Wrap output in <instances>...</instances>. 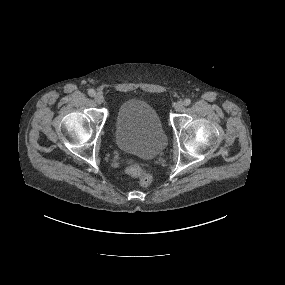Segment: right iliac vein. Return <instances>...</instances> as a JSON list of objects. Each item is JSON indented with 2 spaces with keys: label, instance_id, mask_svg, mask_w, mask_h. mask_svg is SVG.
<instances>
[{
  "label": "right iliac vein",
  "instance_id": "obj_1",
  "mask_svg": "<svg viewBox=\"0 0 285 285\" xmlns=\"http://www.w3.org/2000/svg\"><path fill=\"white\" fill-rule=\"evenodd\" d=\"M94 99L97 104H102L104 102V97L100 93L96 94Z\"/></svg>",
  "mask_w": 285,
  "mask_h": 285
}]
</instances>
